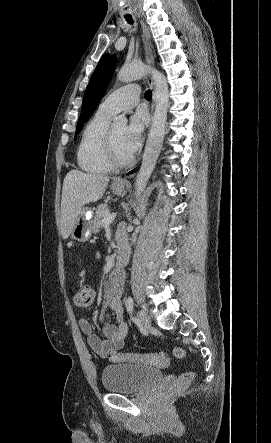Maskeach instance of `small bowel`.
I'll return each mask as SVG.
<instances>
[{
    "label": "small bowel",
    "mask_w": 271,
    "mask_h": 443,
    "mask_svg": "<svg viewBox=\"0 0 271 443\" xmlns=\"http://www.w3.org/2000/svg\"><path fill=\"white\" fill-rule=\"evenodd\" d=\"M124 278L120 273L114 272L105 285L104 304L99 320L103 322L108 309L115 315L116 323H104L102 336L94 332V326L88 319H81L79 326L87 336L89 347L101 358L109 357L110 353L121 349L128 336V324L125 321L122 305Z\"/></svg>",
    "instance_id": "1"
}]
</instances>
